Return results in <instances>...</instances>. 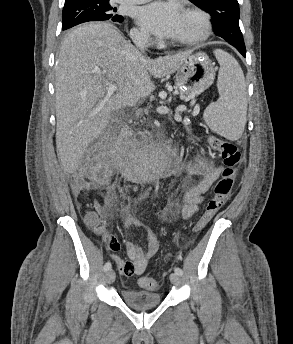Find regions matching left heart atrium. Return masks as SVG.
<instances>
[{"label":"left heart atrium","instance_id":"obj_1","mask_svg":"<svg viewBox=\"0 0 293 344\" xmlns=\"http://www.w3.org/2000/svg\"><path fill=\"white\" fill-rule=\"evenodd\" d=\"M138 24L160 38H171L177 32L182 13L173 2H154L137 10Z\"/></svg>","mask_w":293,"mask_h":344}]
</instances>
